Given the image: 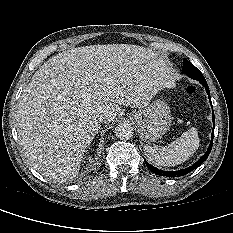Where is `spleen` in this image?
Instances as JSON below:
<instances>
[{
	"label": "spleen",
	"mask_w": 233,
	"mask_h": 233,
	"mask_svg": "<svg viewBox=\"0 0 233 233\" xmlns=\"http://www.w3.org/2000/svg\"><path fill=\"white\" fill-rule=\"evenodd\" d=\"M200 144L198 131L192 127L164 147L144 145L148 161L158 167H171L187 161Z\"/></svg>",
	"instance_id": "1"
}]
</instances>
